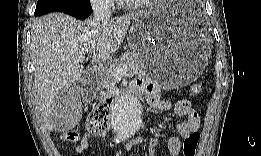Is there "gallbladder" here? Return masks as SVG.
I'll return each instance as SVG.
<instances>
[{"instance_id":"1","label":"gallbladder","mask_w":261,"mask_h":156,"mask_svg":"<svg viewBox=\"0 0 261 156\" xmlns=\"http://www.w3.org/2000/svg\"><path fill=\"white\" fill-rule=\"evenodd\" d=\"M66 93L60 94L59 103L54 104L52 107L56 109L53 110L54 113L51 114L53 126L57 130H69L78 124L83 116L82 114V101L78 95L79 93L73 90H66Z\"/></svg>"}]
</instances>
